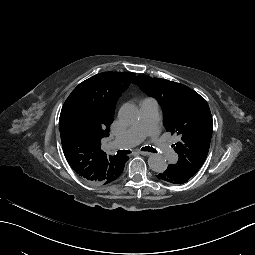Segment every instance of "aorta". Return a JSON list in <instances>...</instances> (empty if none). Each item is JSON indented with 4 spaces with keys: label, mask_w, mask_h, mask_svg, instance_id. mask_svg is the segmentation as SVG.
I'll use <instances>...</instances> for the list:
<instances>
[{
    "label": "aorta",
    "mask_w": 255,
    "mask_h": 255,
    "mask_svg": "<svg viewBox=\"0 0 255 255\" xmlns=\"http://www.w3.org/2000/svg\"><path fill=\"white\" fill-rule=\"evenodd\" d=\"M119 119L125 124H133L139 118V110L134 104H124L118 113ZM149 168L157 173H162L167 168V162L164 156L159 153H153L148 158Z\"/></svg>",
    "instance_id": "762f6f07"
}]
</instances>
